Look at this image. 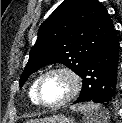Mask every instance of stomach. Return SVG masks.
I'll use <instances>...</instances> for the list:
<instances>
[{
	"label": "stomach",
	"instance_id": "1",
	"mask_svg": "<svg viewBox=\"0 0 122 123\" xmlns=\"http://www.w3.org/2000/svg\"><path fill=\"white\" fill-rule=\"evenodd\" d=\"M45 123H75L73 118H67L63 115H56L47 119Z\"/></svg>",
	"mask_w": 122,
	"mask_h": 123
}]
</instances>
